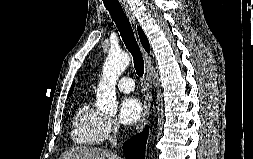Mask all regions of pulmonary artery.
<instances>
[{
  "label": "pulmonary artery",
  "mask_w": 253,
  "mask_h": 159,
  "mask_svg": "<svg viewBox=\"0 0 253 159\" xmlns=\"http://www.w3.org/2000/svg\"><path fill=\"white\" fill-rule=\"evenodd\" d=\"M117 86L121 92H131L135 88V83L129 77H123L118 81Z\"/></svg>",
  "instance_id": "1"
}]
</instances>
